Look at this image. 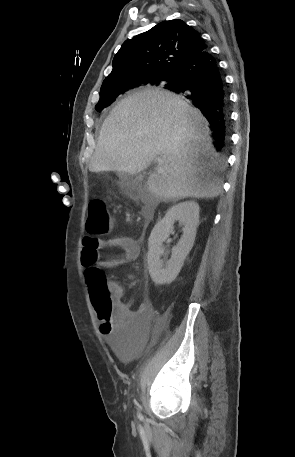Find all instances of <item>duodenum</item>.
I'll use <instances>...</instances> for the list:
<instances>
[{
  "label": "duodenum",
  "mask_w": 295,
  "mask_h": 457,
  "mask_svg": "<svg viewBox=\"0 0 295 457\" xmlns=\"http://www.w3.org/2000/svg\"><path fill=\"white\" fill-rule=\"evenodd\" d=\"M153 216V210L151 207H145L143 210V218L145 221H149Z\"/></svg>",
  "instance_id": "duodenum-1"
}]
</instances>
